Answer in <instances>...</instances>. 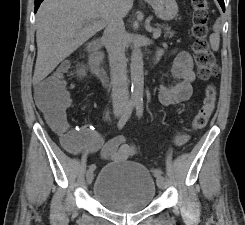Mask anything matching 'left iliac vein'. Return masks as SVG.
<instances>
[{
  "label": "left iliac vein",
  "mask_w": 245,
  "mask_h": 225,
  "mask_svg": "<svg viewBox=\"0 0 245 225\" xmlns=\"http://www.w3.org/2000/svg\"><path fill=\"white\" fill-rule=\"evenodd\" d=\"M164 185H165V179L163 176H161L157 179V186L162 189L164 188Z\"/></svg>",
  "instance_id": "left-iliac-vein-1"
}]
</instances>
